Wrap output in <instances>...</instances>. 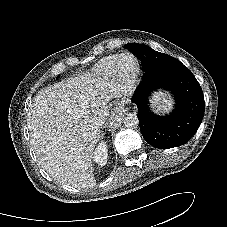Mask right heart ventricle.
<instances>
[{
	"mask_svg": "<svg viewBox=\"0 0 227 227\" xmlns=\"http://www.w3.org/2000/svg\"><path fill=\"white\" fill-rule=\"evenodd\" d=\"M120 55H111L103 58L94 68V72L103 76L109 77L114 74L116 64Z\"/></svg>",
	"mask_w": 227,
	"mask_h": 227,
	"instance_id": "1",
	"label": "right heart ventricle"
}]
</instances>
